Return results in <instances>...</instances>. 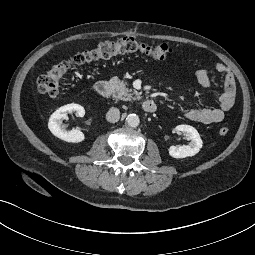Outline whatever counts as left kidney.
<instances>
[{
    "instance_id": "5707ae66",
    "label": "left kidney",
    "mask_w": 255,
    "mask_h": 255,
    "mask_svg": "<svg viewBox=\"0 0 255 255\" xmlns=\"http://www.w3.org/2000/svg\"><path fill=\"white\" fill-rule=\"evenodd\" d=\"M176 131L182 132L188 140L189 145L171 146L169 148V154L173 158H185L188 156L196 155L203 146V142L200 138L198 131L190 125H178Z\"/></svg>"
}]
</instances>
